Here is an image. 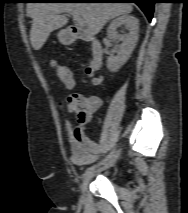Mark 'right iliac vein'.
Instances as JSON below:
<instances>
[{
	"instance_id": "63e3f726",
	"label": "right iliac vein",
	"mask_w": 188,
	"mask_h": 213,
	"mask_svg": "<svg viewBox=\"0 0 188 213\" xmlns=\"http://www.w3.org/2000/svg\"><path fill=\"white\" fill-rule=\"evenodd\" d=\"M120 156V150L116 151V153L113 155V157L108 161L106 162L101 168H99L98 170L96 171H92L91 173H89L88 175H86L83 179V182H82V186H81V193H82V196L85 194L86 190H87V187H88V184L89 182L91 181V179L100 171H103V170H106L110 167H112L116 161L118 160Z\"/></svg>"
}]
</instances>
